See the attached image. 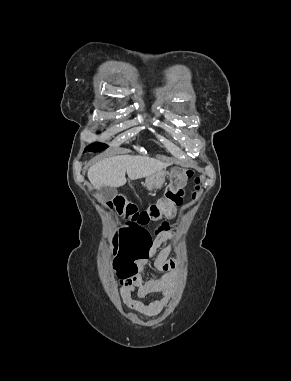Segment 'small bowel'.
<instances>
[{
    "instance_id": "1",
    "label": "small bowel",
    "mask_w": 291,
    "mask_h": 381,
    "mask_svg": "<svg viewBox=\"0 0 291 381\" xmlns=\"http://www.w3.org/2000/svg\"><path fill=\"white\" fill-rule=\"evenodd\" d=\"M172 239L173 235L166 223L157 229L154 239L147 232L140 239L141 255L136 260L139 272L119 280L120 295L127 307L153 315L159 313L168 303L177 281L178 261L170 257V248H158ZM150 258L153 259L154 268L161 274L145 280L142 272ZM152 292L158 293L160 297L145 303L143 298Z\"/></svg>"
}]
</instances>
